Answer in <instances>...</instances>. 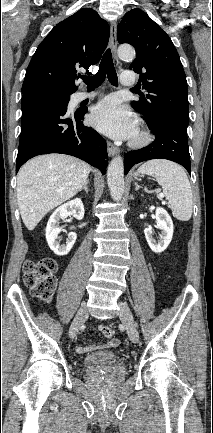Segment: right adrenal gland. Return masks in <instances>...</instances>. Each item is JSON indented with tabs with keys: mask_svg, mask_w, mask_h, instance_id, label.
Listing matches in <instances>:
<instances>
[{
	"mask_svg": "<svg viewBox=\"0 0 213 433\" xmlns=\"http://www.w3.org/2000/svg\"><path fill=\"white\" fill-rule=\"evenodd\" d=\"M88 184H89V179L85 182V184L83 185V187L79 190L80 192L82 190H84L86 193H88Z\"/></svg>",
	"mask_w": 213,
	"mask_h": 433,
	"instance_id": "right-adrenal-gland-1",
	"label": "right adrenal gland"
}]
</instances>
